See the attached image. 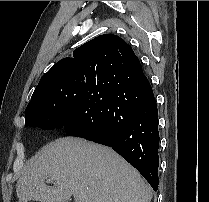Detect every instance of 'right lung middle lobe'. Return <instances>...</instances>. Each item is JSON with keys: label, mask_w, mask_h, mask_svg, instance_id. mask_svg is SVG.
<instances>
[{"label": "right lung middle lobe", "mask_w": 209, "mask_h": 202, "mask_svg": "<svg viewBox=\"0 0 209 202\" xmlns=\"http://www.w3.org/2000/svg\"><path fill=\"white\" fill-rule=\"evenodd\" d=\"M95 81V76L82 73L49 78L32 97L25 114L28 126L46 130L63 127L80 110Z\"/></svg>", "instance_id": "right-lung-middle-lobe-1"}]
</instances>
